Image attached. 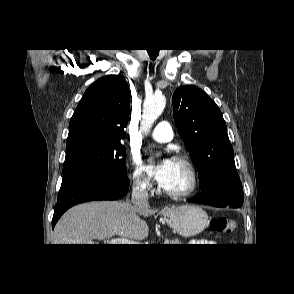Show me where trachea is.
<instances>
[{
  "label": "trachea",
  "mask_w": 294,
  "mask_h": 294,
  "mask_svg": "<svg viewBox=\"0 0 294 294\" xmlns=\"http://www.w3.org/2000/svg\"><path fill=\"white\" fill-rule=\"evenodd\" d=\"M149 56L152 58V59H155L157 56H158V51H155V50H147Z\"/></svg>",
  "instance_id": "3493384b"
}]
</instances>
